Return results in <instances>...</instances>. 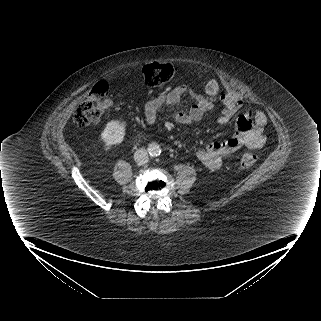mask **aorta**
<instances>
[{"label": "aorta", "instance_id": "aorta-1", "mask_svg": "<svg viewBox=\"0 0 321 321\" xmlns=\"http://www.w3.org/2000/svg\"><path fill=\"white\" fill-rule=\"evenodd\" d=\"M148 152L152 156H157L161 153V148L157 143H151L148 146Z\"/></svg>", "mask_w": 321, "mask_h": 321}]
</instances>
